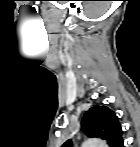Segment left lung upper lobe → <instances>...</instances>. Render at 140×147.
<instances>
[{
	"mask_svg": "<svg viewBox=\"0 0 140 147\" xmlns=\"http://www.w3.org/2000/svg\"><path fill=\"white\" fill-rule=\"evenodd\" d=\"M82 129L89 137L105 139L111 147H123L122 128L116 114L106 106L90 108L82 119ZM64 147H70L67 141Z\"/></svg>",
	"mask_w": 140,
	"mask_h": 147,
	"instance_id": "5c2ea615",
	"label": "left lung upper lobe"
}]
</instances>
